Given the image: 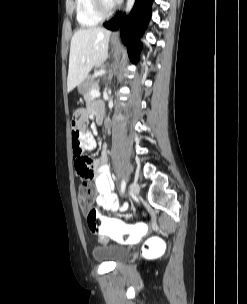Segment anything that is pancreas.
Returning a JSON list of instances; mask_svg holds the SVG:
<instances>
[{
  "mask_svg": "<svg viewBox=\"0 0 247 304\" xmlns=\"http://www.w3.org/2000/svg\"><path fill=\"white\" fill-rule=\"evenodd\" d=\"M99 89V84H98V82H91V83H89L88 85H86V86H84L83 88H82V90H81V92L83 93V95H84V99L86 100V101H89V100H91L92 99V97H91V95H90V92L92 91V90H98Z\"/></svg>",
  "mask_w": 247,
  "mask_h": 304,
  "instance_id": "obj_1",
  "label": "pancreas"
}]
</instances>
